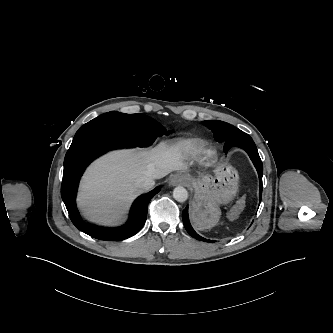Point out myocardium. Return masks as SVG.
Returning a JSON list of instances; mask_svg holds the SVG:
<instances>
[{"label": "myocardium", "instance_id": "f54148a6", "mask_svg": "<svg viewBox=\"0 0 333 333\" xmlns=\"http://www.w3.org/2000/svg\"><path fill=\"white\" fill-rule=\"evenodd\" d=\"M213 156H214V152L212 150L207 149V150L204 151V157H205L206 160L212 159Z\"/></svg>", "mask_w": 333, "mask_h": 333}]
</instances>
